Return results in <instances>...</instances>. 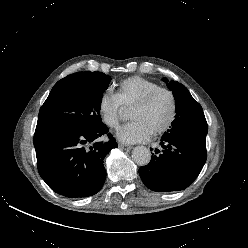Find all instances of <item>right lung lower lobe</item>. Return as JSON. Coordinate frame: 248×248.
I'll list each match as a JSON object with an SVG mask.
<instances>
[{
    "label": "right lung lower lobe",
    "mask_w": 248,
    "mask_h": 248,
    "mask_svg": "<svg viewBox=\"0 0 248 248\" xmlns=\"http://www.w3.org/2000/svg\"><path fill=\"white\" fill-rule=\"evenodd\" d=\"M108 131L106 125L96 129L37 126L34 146L42 179L66 197H88L99 192L106 179L103 160L118 147L109 134V141H99Z\"/></svg>",
    "instance_id": "right-lung-lower-lobe-1"
}]
</instances>
